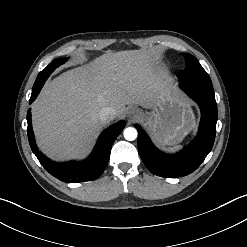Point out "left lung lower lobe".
Segmentation results:
<instances>
[{"instance_id":"1","label":"left lung lower lobe","mask_w":247,"mask_h":247,"mask_svg":"<svg viewBox=\"0 0 247 247\" xmlns=\"http://www.w3.org/2000/svg\"><path fill=\"white\" fill-rule=\"evenodd\" d=\"M181 72V71H180ZM180 87L199 105L201 121L196 138L183 151L169 155L158 150L143 129L138 130L139 155L148 170L166 178L184 177L194 172L211 151L216 133L217 104L211 84L180 79Z\"/></svg>"}]
</instances>
